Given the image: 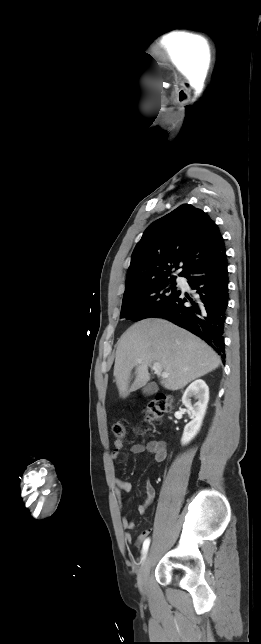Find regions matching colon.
<instances>
[{"label": "colon", "instance_id": "1", "mask_svg": "<svg viewBox=\"0 0 261 644\" xmlns=\"http://www.w3.org/2000/svg\"><path fill=\"white\" fill-rule=\"evenodd\" d=\"M173 399L166 394H158L156 398L146 407V419L148 421L158 420L164 413L172 409ZM113 433L118 440H123L127 436V426L123 421H118L113 425Z\"/></svg>", "mask_w": 261, "mask_h": 644}]
</instances>
